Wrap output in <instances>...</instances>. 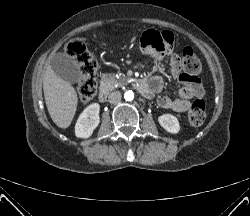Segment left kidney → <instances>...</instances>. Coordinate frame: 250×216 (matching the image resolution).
<instances>
[{
  "label": "left kidney",
  "instance_id": "left-kidney-1",
  "mask_svg": "<svg viewBox=\"0 0 250 216\" xmlns=\"http://www.w3.org/2000/svg\"><path fill=\"white\" fill-rule=\"evenodd\" d=\"M159 124L169 133L177 134L180 131L178 119L172 114H163L158 117Z\"/></svg>",
  "mask_w": 250,
  "mask_h": 216
}]
</instances>
